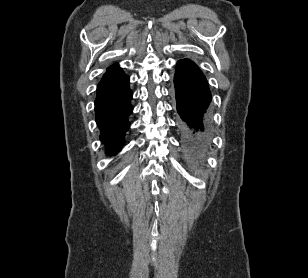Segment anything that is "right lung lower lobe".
<instances>
[{"mask_svg":"<svg viewBox=\"0 0 308 278\" xmlns=\"http://www.w3.org/2000/svg\"><path fill=\"white\" fill-rule=\"evenodd\" d=\"M133 93L129 77L99 83L95 100V119L101 131L100 140L107 147V154L115 155L121 150L127 129L128 116L132 113L130 101Z\"/></svg>","mask_w":308,"mask_h":278,"instance_id":"1","label":"right lung lower lobe"}]
</instances>
